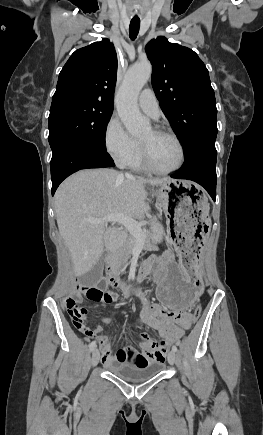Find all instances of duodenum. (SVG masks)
I'll return each mask as SVG.
<instances>
[{
  "label": "duodenum",
  "instance_id": "1",
  "mask_svg": "<svg viewBox=\"0 0 263 435\" xmlns=\"http://www.w3.org/2000/svg\"><path fill=\"white\" fill-rule=\"evenodd\" d=\"M107 264H108V268H109L110 272L113 273V271H112V255L108 256Z\"/></svg>",
  "mask_w": 263,
  "mask_h": 435
}]
</instances>
